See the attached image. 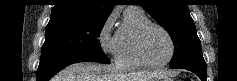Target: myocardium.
<instances>
[{"instance_id": "1", "label": "myocardium", "mask_w": 237, "mask_h": 81, "mask_svg": "<svg viewBox=\"0 0 237 81\" xmlns=\"http://www.w3.org/2000/svg\"><path fill=\"white\" fill-rule=\"evenodd\" d=\"M150 28H157L160 31H162L166 35V37L168 38V40L170 42V46H171L170 55L165 61L158 62V63L151 62L146 58V56L144 54L143 40H144V37H145L147 31ZM175 49H176V46H175V42H174L173 37L162 25H160L158 23L150 21V22L144 24L143 26H141L138 29L137 33H136V36H135V52H136L137 57L140 59V61L147 67L160 68V67L166 66L173 59V57L175 55Z\"/></svg>"}]
</instances>
